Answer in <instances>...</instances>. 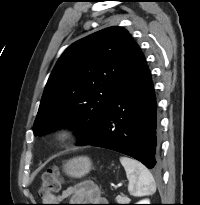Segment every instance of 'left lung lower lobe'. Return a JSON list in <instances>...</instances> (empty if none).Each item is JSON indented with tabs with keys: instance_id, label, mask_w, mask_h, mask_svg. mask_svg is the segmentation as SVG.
<instances>
[{
	"instance_id": "left-lung-lower-lobe-1",
	"label": "left lung lower lobe",
	"mask_w": 200,
	"mask_h": 205,
	"mask_svg": "<svg viewBox=\"0 0 200 205\" xmlns=\"http://www.w3.org/2000/svg\"><path fill=\"white\" fill-rule=\"evenodd\" d=\"M157 104L151 74L136 44L95 136L83 145L111 149L158 166ZM82 146V145H81Z\"/></svg>"
}]
</instances>
